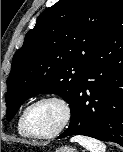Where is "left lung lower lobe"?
Instances as JSON below:
<instances>
[{
  "label": "left lung lower lobe",
  "mask_w": 123,
  "mask_h": 152,
  "mask_svg": "<svg viewBox=\"0 0 123 152\" xmlns=\"http://www.w3.org/2000/svg\"><path fill=\"white\" fill-rule=\"evenodd\" d=\"M70 108V125L58 138L85 135L123 146V1L84 65Z\"/></svg>",
  "instance_id": "0a47b994"
}]
</instances>
